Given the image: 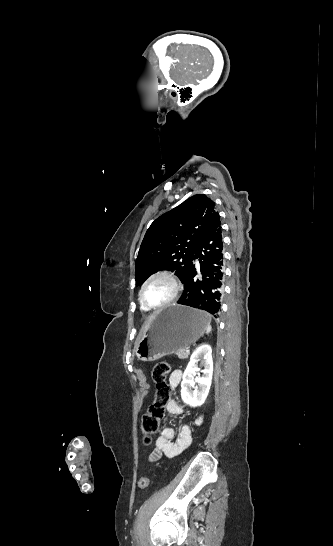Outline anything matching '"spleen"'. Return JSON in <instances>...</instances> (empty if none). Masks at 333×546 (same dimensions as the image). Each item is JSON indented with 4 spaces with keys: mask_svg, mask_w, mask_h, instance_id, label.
Instances as JSON below:
<instances>
[{
    "mask_svg": "<svg viewBox=\"0 0 333 546\" xmlns=\"http://www.w3.org/2000/svg\"><path fill=\"white\" fill-rule=\"evenodd\" d=\"M210 321H211V318H210ZM211 331H212V328H211V325H210V322H209L207 327H206V334H209Z\"/></svg>",
    "mask_w": 333,
    "mask_h": 546,
    "instance_id": "1",
    "label": "spleen"
}]
</instances>
